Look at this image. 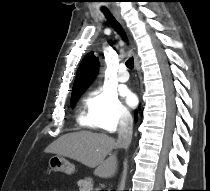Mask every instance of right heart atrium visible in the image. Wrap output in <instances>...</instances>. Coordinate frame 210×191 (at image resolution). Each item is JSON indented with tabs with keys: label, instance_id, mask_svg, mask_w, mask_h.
Here are the masks:
<instances>
[{
	"label": "right heart atrium",
	"instance_id": "obj_1",
	"mask_svg": "<svg viewBox=\"0 0 210 191\" xmlns=\"http://www.w3.org/2000/svg\"><path fill=\"white\" fill-rule=\"evenodd\" d=\"M86 106L94 125L100 130L114 132L131 121V114L116 91L99 87L90 92Z\"/></svg>",
	"mask_w": 210,
	"mask_h": 191
}]
</instances>
